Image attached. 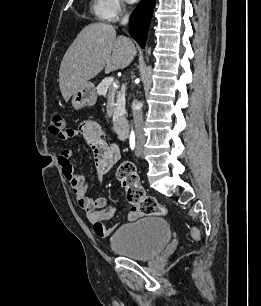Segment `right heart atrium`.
<instances>
[{
  "mask_svg": "<svg viewBox=\"0 0 261 306\" xmlns=\"http://www.w3.org/2000/svg\"><path fill=\"white\" fill-rule=\"evenodd\" d=\"M97 14L104 20L115 21L124 11V0H99Z\"/></svg>",
  "mask_w": 261,
  "mask_h": 306,
  "instance_id": "right-heart-atrium-1",
  "label": "right heart atrium"
}]
</instances>
